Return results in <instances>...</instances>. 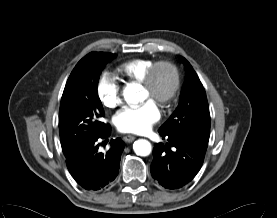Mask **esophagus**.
<instances>
[{
  "label": "esophagus",
  "mask_w": 277,
  "mask_h": 218,
  "mask_svg": "<svg viewBox=\"0 0 277 218\" xmlns=\"http://www.w3.org/2000/svg\"><path fill=\"white\" fill-rule=\"evenodd\" d=\"M123 140L126 142V143H130L132 142L133 140H135V137L133 135H127L123 138Z\"/></svg>",
  "instance_id": "1"
}]
</instances>
